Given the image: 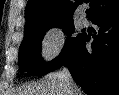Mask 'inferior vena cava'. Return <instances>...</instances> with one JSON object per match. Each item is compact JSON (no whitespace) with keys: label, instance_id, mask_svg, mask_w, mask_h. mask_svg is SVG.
<instances>
[{"label":"inferior vena cava","instance_id":"obj_1","mask_svg":"<svg viewBox=\"0 0 119 95\" xmlns=\"http://www.w3.org/2000/svg\"><path fill=\"white\" fill-rule=\"evenodd\" d=\"M61 76L68 87L70 95H81L80 89L74 84L71 74L66 67L63 68L61 72Z\"/></svg>","mask_w":119,"mask_h":95}]
</instances>
